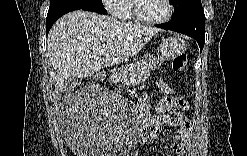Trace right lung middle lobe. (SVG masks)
I'll use <instances>...</instances> for the list:
<instances>
[{"label":"right lung middle lobe","instance_id":"1","mask_svg":"<svg viewBox=\"0 0 247 156\" xmlns=\"http://www.w3.org/2000/svg\"><path fill=\"white\" fill-rule=\"evenodd\" d=\"M85 8L104 9V6L101 0H51L48 14L63 9H85Z\"/></svg>","mask_w":247,"mask_h":156}]
</instances>
